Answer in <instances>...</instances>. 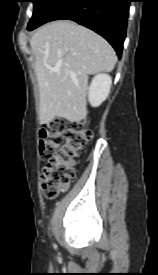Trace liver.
Segmentation results:
<instances>
[{"mask_svg": "<svg viewBox=\"0 0 158 275\" xmlns=\"http://www.w3.org/2000/svg\"><path fill=\"white\" fill-rule=\"evenodd\" d=\"M30 47L35 58L41 124L56 117L70 122L85 120L88 76L113 70L117 57L111 45L74 22L54 21L36 30ZM54 67L59 71H52Z\"/></svg>", "mask_w": 158, "mask_h": 275, "instance_id": "liver-1", "label": "liver"}]
</instances>
